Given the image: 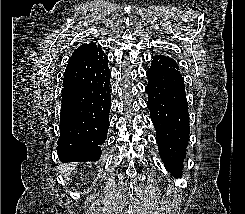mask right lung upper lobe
<instances>
[{"mask_svg": "<svg viewBox=\"0 0 245 214\" xmlns=\"http://www.w3.org/2000/svg\"><path fill=\"white\" fill-rule=\"evenodd\" d=\"M76 53L79 55V80L83 86L89 85L99 77L103 63L108 58L100 45L95 43L82 44L73 54Z\"/></svg>", "mask_w": 245, "mask_h": 214, "instance_id": "cb5924a9", "label": "right lung upper lobe"}]
</instances>
